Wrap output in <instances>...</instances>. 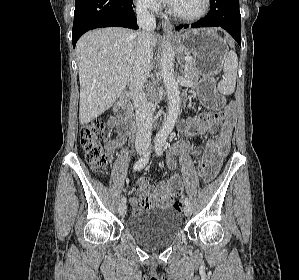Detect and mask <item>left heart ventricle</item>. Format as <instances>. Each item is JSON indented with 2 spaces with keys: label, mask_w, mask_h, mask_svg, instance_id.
Wrapping results in <instances>:
<instances>
[{
  "label": "left heart ventricle",
  "mask_w": 299,
  "mask_h": 280,
  "mask_svg": "<svg viewBox=\"0 0 299 280\" xmlns=\"http://www.w3.org/2000/svg\"><path fill=\"white\" fill-rule=\"evenodd\" d=\"M171 6L181 14L194 16L201 12L204 0H170Z\"/></svg>",
  "instance_id": "b2bd125f"
}]
</instances>
